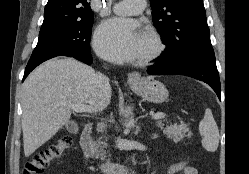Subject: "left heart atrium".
I'll return each instance as SVG.
<instances>
[{"instance_id": "1", "label": "left heart atrium", "mask_w": 249, "mask_h": 174, "mask_svg": "<svg viewBox=\"0 0 249 174\" xmlns=\"http://www.w3.org/2000/svg\"><path fill=\"white\" fill-rule=\"evenodd\" d=\"M139 36L140 32L135 21L112 18L96 30L94 46L97 52L108 60L132 61L138 54Z\"/></svg>"}]
</instances>
